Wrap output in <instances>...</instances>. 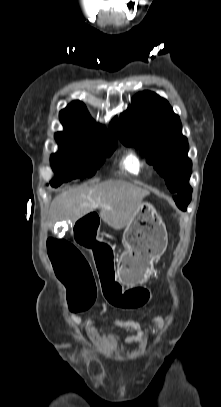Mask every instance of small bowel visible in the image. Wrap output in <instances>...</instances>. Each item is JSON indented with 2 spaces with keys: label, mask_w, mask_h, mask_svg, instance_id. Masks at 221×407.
<instances>
[{
  "label": "small bowel",
  "mask_w": 221,
  "mask_h": 407,
  "mask_svg": "<svg viewBox=\"0 0 221 407\" xmlns=\"http://www.w3.org/2000/svg\"><path fill=\"white\" fill-rule=\"evenodd\" d=\"M105 311H106V305L103 304L102 309H101V314L104 313ZM152 322L158 327L162 326V320L160 318H154V319H152ZM112 325L115 327L132 328L135 331L134 335L129 336L128 338L125 339V344L128 346H133V345L141 343L148 335L147 331L136 320L115 319L112 321Z\"/></svg>",
  "instance_id": "obj_1"
}]
</instances>
